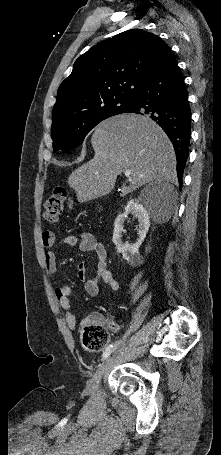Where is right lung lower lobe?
Here are the masks:
<instances>
[{
    "label": "right lung lower lobe",
    "mask_w": 221,
    "mask_h": 455,
    "mask_svg": "<svg viewBox=\"0 0 221 455\" xmlns=\"http://www.w3.org/2000/svg\"><path fill=\"white\" fill-rule=\"evenodd\" d=\"M124 113L146 115L162 127L174 146L181 186L189 154L191 109L183 76L172 51L141 84Z\"/></svg>",
    "instance_id": "1"
}]
</instances>
